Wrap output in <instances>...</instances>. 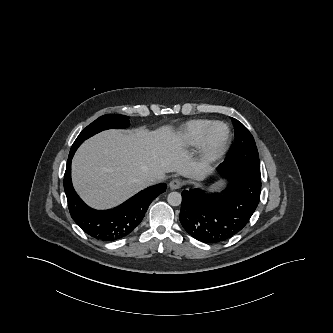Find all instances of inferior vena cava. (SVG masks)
<instances>
[{"label":"inferior vena cava","mask_w":333,"mask_h":333,"mask_svg":"<svg viewBox=\"0 0 333 333\" xmlns=\"http://www.w3.org/2000/svg\"><path fill=\"white\" fill-rule=\"evenodd\" d=\"M156 176H147L144 181L147 185L153 184L156 181Z\"/></svg>","instance_id":"obj_1"}]
</instances>
